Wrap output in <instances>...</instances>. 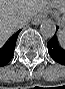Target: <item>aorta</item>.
I'll list each match as a JSON object with an SVG mask.
<instances>
[{
  "label": "aorta",
  "mask_w": 65,
  "mask_h": 89,
  "mask_svg": "<svg viewBox=\"0 0 65 89\" xmlns=\"http://www.w3.org/2000/svg\"><path fill=\"white\" fill-rule=\"evenodd\" d=\"M56 32V25L54 21L50 19H45L42 21L40 25V33L45 38H51L55 35Z\"/></svg>",
  "instance_id": "1"
}]
</instances>
